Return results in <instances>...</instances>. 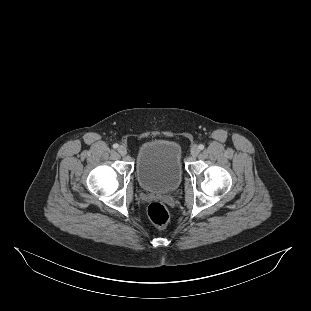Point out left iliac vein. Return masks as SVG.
<instances>
[{
  "mask_svg": "<svg viewBox=\"0 0 311 311\" xmlns=\"http://www.w3.org/2000/svg\"><path fill=\"white\" fill-rule=\"evenodd\" d=\"M199 152H200V149L197 145L192 146V148H191V155L192 156H194V157L197 156L199 154Z\"/></svg>",
  "mask_w": 311,
  "mask_h": 311,
  "instance_id": "1",
  "label": "left iliac vein"
}]
</instances>
